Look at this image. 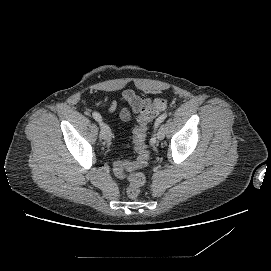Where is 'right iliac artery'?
<instances>
[{
  "instance_id": "right-iliac-artery-1",
  "label": "right iliac artery",
  "mask_w": 271,
  "mask_h": 271,
  "mask_svg": "<svg viewBox=\"0 0 271 271\" xmlns=\"http://www.w3.org/2000/svg\"><path fill=\"white\" fill-rule=\"evenodd\" d=\"M92 116H93V118H94L96 121H98V122L100 123V125H101L102 118H101L100 114L97 113V112H93V113H92ZM100 138H101V135H100Z\"/></svg>"
}]
</instances>
